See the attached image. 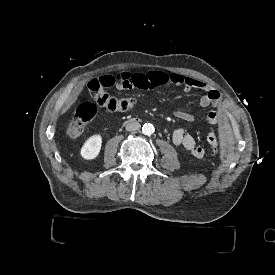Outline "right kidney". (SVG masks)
Returning <instances> with one entry per match:
<instances>
[{"label": "right kidney", "mask_w": 275, "mask_h": 275, "mask_svg": "<svg viewBox=\"0 0 275 275\" xmlns=\"http://www.w3.org/2000/svg\"><path fill=\"white\" fill-rule=\"evenodd\" d=\"M102 145V138L100 135L91 136L81 148V156L84 159L90 160L98 156Z\"/></svg>", "instance_id": "right-kidney-1"}]
</instances>
